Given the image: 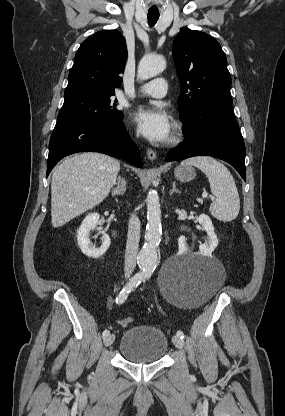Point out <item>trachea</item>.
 <instances>
[{
    "mask_svg": "<svg viewBox=\"0 0 285 416\" xmlns=\"http://www.w3.org/2000/svg\"><path fill=\"white\" fill-rule=\"evenodd\" d=\"M147 18L149 25L152 27L158 21L159 13H148Z\"/></svg>",
    "mask_w": 285,
    "mask_h": 416,
    "instance_id": "trachea-1",
    "label": "trachea"
}]
</instances>
